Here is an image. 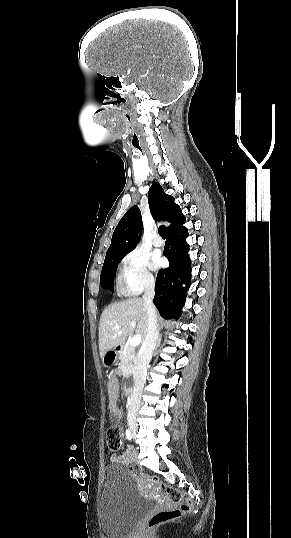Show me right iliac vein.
Here are the masks:
<instances>
[{"instance_id": "1", "label": "right iliac vein", "mask_w": 291, "mask_h": 538, "mask_svg": "<svg viewBox=\"0 0 291 538\" xmlns=\"http://www.w3.org/2000/svg\"><path fill=\"white\" fill-rule=\"evenodd\" d=\"M129 427L131 429L132 434L135 435L138 429L137 423L133 420H129Z\"/></svg>"}]
</instances>
